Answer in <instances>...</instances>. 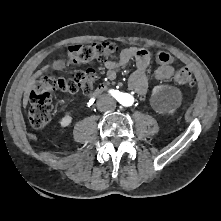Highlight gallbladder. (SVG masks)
<instances>
[{
	"label": "gallbladder",
	"instance_id": "obj_1",
	"mask_svg": "<svg viewBox=\"0 0 221 221\" xmlns=\"http://www.w3.org/2000/svg\"><path fill=\"white\" fill-rule=\"evenodd\" d=\"M53 69L55 70H62L65 68V62L62 60L55 61L52 65Z\"/></svg>",
	"mask_w": 221,
	"mask_h": 221
}]
</instances>
